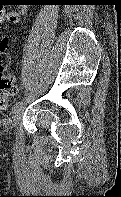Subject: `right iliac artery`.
<instances>
[{"label":"right iliac artery","instance_id":"1","mask_svg":"<svg viewBox=\"0 0 121 197\" xmlns=\"http://www.w3.org/2000/svg\"><path fill=\"white\" fill-rule=\"evenodd\" d=\"M21 105H22L21 101L16 102L12 108V113H15L21 107Z\"/></svg>","mask_w":121,"mask_h":197}]
</instances>
